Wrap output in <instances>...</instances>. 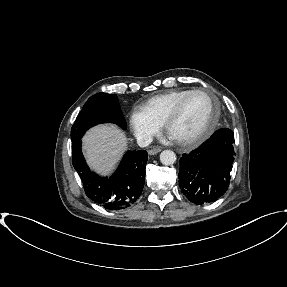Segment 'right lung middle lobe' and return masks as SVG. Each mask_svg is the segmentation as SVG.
I'll return each instance as SVG.
<instances>
[{
  "mask_svg": "<svg viewBox=\"0 0 287 287\" xmlns=\"http://www.w3.org/2000/svg\"><path fill=\"white\" fill-rule=\"evenodd\" d=\"M100 123H114L126 129V120L115 94L98 93L88 99L71 128L72 145L81 140L89 128Z\"/></svg>",
  "mask_w": 287,
  "mask_h": 287,
  "instance_id": "obj_1",
  "label": "right lung middle lobe"
}]
</instances>
